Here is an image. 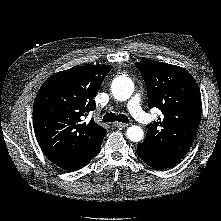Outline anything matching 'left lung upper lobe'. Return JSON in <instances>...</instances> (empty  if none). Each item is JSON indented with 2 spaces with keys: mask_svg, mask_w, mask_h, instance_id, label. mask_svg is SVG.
<instances>
[{
  "mask_svg": "<svg viewBox=\"0 0 221 221\" xmlns=\"http://www.w3.org/2000/svg\"><path fill=\"white\" fill-rule=\"evenodd\" d=\"M147 86L149 107L162 111L147 125L145 145L182 158L193 143L201 119V95L192 75L182 67L157 61L135 63Z\"/></svg>",
  "mask_w": 221,
  "mask_h": 221,
  "instance_id": "5c2ea615",
  "label": "left lung upper lobe"
}]
</instances>
